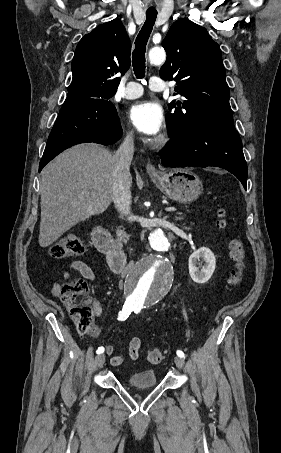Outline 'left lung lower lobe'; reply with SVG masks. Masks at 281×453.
Returning <instances> with one entry per match:
<instances>
[{
	"mask_svg": "<svg viewBox=\"0 0 281 453\" xmlns=\"http://www.w3.org/2000/svg\"><path fill=\"white\" fill-rule=\"evenodd\" d=\"M167 167H221L247 188V164L233 119L208 123L178 135L159 152Z\"/></svg>",
	"mask_w": 281,
	"mask_h": 453,
	"instance_id": "0a47b994",
	"label": "left lung lower lobe"
}]
</instances>
